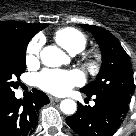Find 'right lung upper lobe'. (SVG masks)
Returning a JSON list of instances; mask_svg holds the SVG:
<instances>
[{
    "mask_svg": "<svg viewBox=\"0 0 136 136\" xmlns=\"http://www.w3.org/2000/svg\"><path fill=\"white\" fill-rule=\"evenodd\" d=\"M46 26L47 24H28L25 22L4 21L0 23V38H10L15 34H19L31 39L37 32Z\"/></svg>",
    "mask_w": 136,
    "mask_h": 136,
    "instance_id": "cb5924a9",
    "label": "right lung upper lobe"
}]
</instances>
